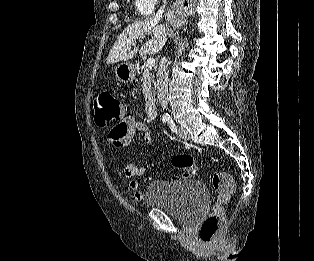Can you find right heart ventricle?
I'll use <instances>...</instances> for the list:
<instances>
[{
  "mask_svg": "<svg viewBox=\"0 0 314 261\" xmlns=\"http://www.w3.org/2000/svg\"><path fill=\"white\" fill-rule=\"evenodd\" d=\"M134 7L141 15H147L151 13V10H149V7L144 0H134Z\"/></svg>",
  "mask_w": 314,
  "mask_h": 261,
  "instance_id": "obj_1",
  "label": "right heart ventricle"
}]
</instances>
